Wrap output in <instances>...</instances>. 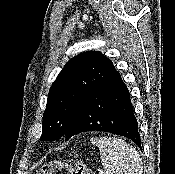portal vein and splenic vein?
I'll use <instances>...</instances> for the list:
<instances>
[{
    "label": "portal vein and splenic vein",
    "instance_id": "18ae733b",
    "mask_svg": "<svg viewBox=\"0 0 175 174\" xmlns=\"http://www.w3.org/2000/svg\"><path fill=\"white\" fill-rule=\"evenodd\" d=\"M100 174H104V171L103 170H100V172H99Z\"/></svg>",
    "mask_w": 175,
    "mask_h": 174
}]
</instances>
